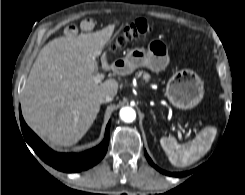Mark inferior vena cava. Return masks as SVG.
Listing matches in <instances>:
<instances>
[{
    "label": "inferior vena cava",
    "mask_w": 245,
    "mask_h": 195,
    "mask_svg": "<svg viewBox=\"0 0 245 195\" xmlns=\"http://www.w3.org/2000/svg\"><path fill=\"white\" fill-rule=\"evenodd\" d=\"M113 100V96L109 95V94H102L99 98H98V102L99 103H107Z\"/></svg>",
    "instance_id": "1"
}]
</instances>
